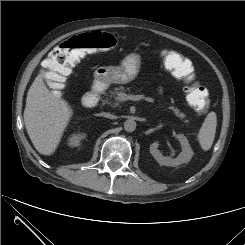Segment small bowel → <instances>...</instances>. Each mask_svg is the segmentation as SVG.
I'll use <instances>...</instances> for the list:
<instances>
[{"label": "small bowel", "instance_id": "1", "mask_svg": "<svg viewBox=\"0 0 245 245\" xmlns=\"http://www.w3.org/2000/svg\"><path fill=\"white\" fill-rule=\"evenodd\" d=\"M169 53L170 52H166L165 53V56L167 54H169ZM185 65L187 67L188 73L191 75V77H193V66H192V63L188 59H186V58H185Z\"/></svg>", "mask_w": 245, "mask_h": 245}]
</instances>
